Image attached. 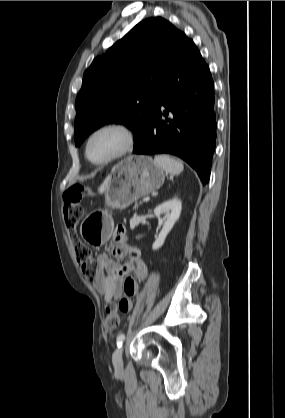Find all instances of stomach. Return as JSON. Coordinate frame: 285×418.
<instances>
[{"mask_svg": "<svg viewBox=\"0 0 285 418\" xmlns=\"http://www.w3.org/2000/svg\"><path fill=\"white\" fill-rule=\"evenodd\" d=\"M164 180V170L151 157L128 156L112 169L105 204L112 209H125L139 198L160 188ZM113 227L114 221L109 211L99 209L83 220L80 233L88 244L101 246L110 239Z\"/></svg>", "mask_w": 285, "mask_h": 418, "instance_id": "0dacf381", "label": "stomach"}]
</instances>
